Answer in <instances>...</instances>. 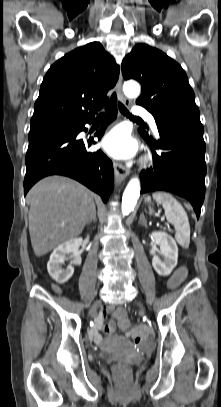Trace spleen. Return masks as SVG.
Returning <instances> with one entry per match:
<instances>
[{"label":"spleen","mask_w":221,"mask_h":407,"mask_svg":"<svg viewBox=\"0 0 221 407\" xmlns=\"http://www.w3.org/2000/svg\"><path fill=\"white\" fill-rule=\"evenodd\" d=\"M152 198L157 203L162 204L167 221L174 225L177 242L183 248H188L190 244V224L182 205L171 194L166 192H155L152 194ZM145 201H151V197L147 196ZM152 212L150 210V214Z\"/></svg>","instance_id":"spleen-1"}]
</instances>
